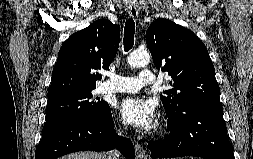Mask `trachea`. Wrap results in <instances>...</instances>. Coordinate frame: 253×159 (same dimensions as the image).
Here are the masks:
<instances>
[{
	"label": "trachea",
	"instance_id": "3493384b",
	"mask_svg": "<svg viewBox=\"0 0 253 159\" xmlns=\"http://www.w3.org/2000/svg\"><path fill=\"white\" fill-rule=\"evenodd\" d=\"M134 35H135V23L134 20L129 18L126 20L124 27V49L125 51L130 50L134 44Z\"/></svg>",
	"mask_w": 253,
	"mask_h": 159
}]
</instances>
